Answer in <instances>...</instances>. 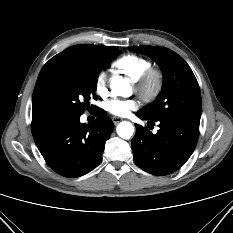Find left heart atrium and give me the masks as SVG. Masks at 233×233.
Segmentation results:
<instances>
[{"label":"left heart atrium","mask_w":233,"mask_h":233,"mask_svg":"<svg viewBox=\"0 0 233 233\" xmlns=\"http://www.w3.org/2000/svg\"><path fill=\"white\" fill-rule=\"evenodd\" d=\"M104 107L112 115L126 116L131 110L138 107V103L134 99L114 98L107 101Z\"/></svg>","instance_id":"1"}]
</instances>
